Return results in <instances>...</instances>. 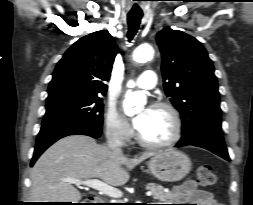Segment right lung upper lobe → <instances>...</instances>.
I'll return each instance as SVG.
<instances>
[{
  "mask_svg": "<svg viewBox=\"0 0 253 205\" xmlns=\"http://www.w3.org/2000/svg\"><path fill=\"white\" fill-rule=\"evenodd\" d=\"M118 47L107 30L76 41L58 62L47 101L72 95L105 94Z\"/></svg>",
  "mask_w": 253,
  "mask_h": 205,
  "instance_id": "right-lung-upper-lobe-1",
  "label": "right lung upper lobe"
}]
</instances>
